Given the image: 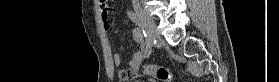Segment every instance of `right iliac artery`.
Instances as JSON below:
<instances>
[{
  "label": "right iliac artery",
  "instance_id": "right-iliac-artery-1",
  "mask_svg": "<svg viewBox=\"0 0 279 82\" xmlns=\"http://www.w3.org/2000/svg\"><path fill=\"white\" fill-rule=\"evenodd\" d=\"M127 15L129 17V19H131L134 23H136V25H138V27L141 30L140 31L141 37L146 42L145 55H146V58H148L149 55L151 54V51H152V48H151L152 47V43L148 39V34H147L146 29H145V25L143 23V20L141 19V17L137 13H135L133 11H128Z\"/></svg>",
  "mask_w": 279,
  "mask_h": 82
}]
</instances>
